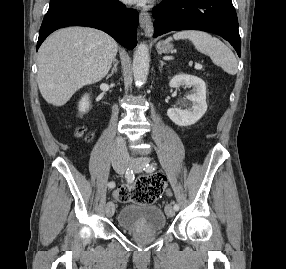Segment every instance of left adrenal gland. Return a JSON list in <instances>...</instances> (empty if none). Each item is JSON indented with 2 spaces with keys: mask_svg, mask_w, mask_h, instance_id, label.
Segmentation results:
<instances>
[{
  "mask_svg": "<svg viewBox=\"0 0 286 269\" xmlns=\"http://www.w3.org/2000/svg\"><path fill=\"white\" fill-rule=\"evenodd\" d=\"M164 62L160 60V69L163 67Z\"/></svg>",
  "mask_w": 286,
  "mask_h": 269,
  "instance_id": "1",
  "label": "left adrenal gland"
}]
</instances>
